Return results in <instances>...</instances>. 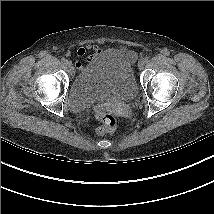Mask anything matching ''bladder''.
I'll return each mask as SVG.
<instances>
[{"mask_svg": "<svg viewBox=\"0 0 214 214\" xmlns=\"http://www.w3.org/2000/svg\"><path fill=\"white\" fill-rule=\"evenodd\" d=\"M136 94L137 84L129 59L123 52L109 49L77 74L67 97L70 108L80 111L101 100H130Z\"/></svg>", "mask_w": 214, "mask_h": 214, "instance_id": "bladder-1", "label": "bladder"}]
</instances>
